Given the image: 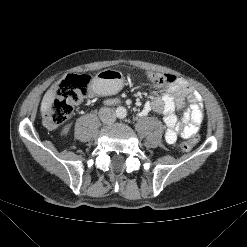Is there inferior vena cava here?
<instances>
[{"instance_id":"obj_1","label":"inferior vena cava","mask_w":247,"mask_h":247,"mask_svg":"<svg viewBox=\"0 0 247 247\" xmlns=\"http://www.w3.org/2000/svg\"><path fill=\"white\" fill-rule=\"evenodd\" d=\"M99 118L102 122L111 124L116 120V113L112 108L103 107L99 110Z\"/></svg>"}]
</instances>
